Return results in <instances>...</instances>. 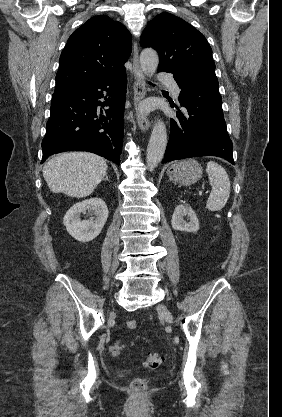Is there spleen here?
Segmentation results:
<instances>
[{"label":"spleen","instance_id":"3e777b00","mask_svg":"<svg viewBox=\"0 0 282 417\" xmlns=\"http://www.w3.org/2000/svg\"><path fill=\"white\" fill-rule=\"evenodd\" d=\"M206 172L209 176L212 190L206 202V209L208 211H221L225 206L230 194V180L229 176L218 162L209 160L207 162Z\"/></svg>","mask_w":282,"mask_h":417}]
</instances>
